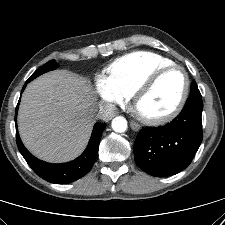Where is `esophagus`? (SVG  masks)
<instances>
[{"instance_id":"esophagus-1","label":"esophagus","mask_w":225,"mask_h":225,"mask_svg":"<svg viewBox=\"0 0 225 225\" xmlns=\"http://www.w3.org/2000/svg\"><path fill=\"white\" fill-rule=\"evenodd\" d=\"M130 126L134 131H139L140 130V125L134 121L130 122Z\"/></svg>"}]
</instances>
